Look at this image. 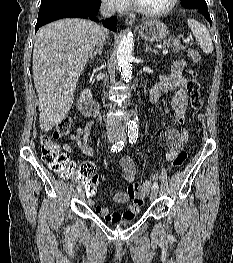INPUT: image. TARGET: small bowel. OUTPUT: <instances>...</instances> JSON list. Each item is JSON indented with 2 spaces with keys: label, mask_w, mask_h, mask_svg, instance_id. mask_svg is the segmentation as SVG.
<instances>
[{
  "label": "small bowel",
  "mask_w": 233,
  "mask_h": 263,
  "mask_svg": "<svg viewBox=\"0 0 233 263\" xmlns=\"http://www.w3.org/2000/svg\"><path fill=\"white\" fill-rule=\"evenodd\" d=\"M185 66L184 60L176 61L171 72L168 75H161L158 82L154 85L150 93V100L153 104L162 102L166 113L172 115L175 121L184 125L185 115L188 105V80L183 76ZM170 98H167L169 93H172ZM92 122H89L83 127H78L76 131L69 136L71 144H64L63 149L67 153L73 151L72 145L78 146L85 154H91L92 149L88 145V137ZM166 141L169 152L166 155V161L171 162L180 152H183L186 143L189 140V132L186 128L176 129L169 128L166 133ZM120 167L123 179L129 184L127 190H121L113 195V200L116 203H129V207L124 212H111L107 207L95 206V212L108 222H119L121 219L133 218L140 210L143 200L149 192L150 182L147 180L139 183L136 180V165L133 160L124 156L120 159ZM95 171L93 163H84L79 166V171ZM89 204L94 205L93 195H87Z\"/></svg>",
  "instance_id": "1"
}]
</instances>
